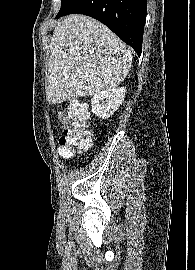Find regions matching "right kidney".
Segmentation results:
<instances>
[{
	"label": "right kidney",
	"mask_w": 195,
	"mask_h": 270,
	"mask_svg": "<svg viewBox=\"0 0 195 270\" xmlns=\"http://www.w3.org/2000/svg\"><path fill=\"white\" fill-rule=\"evenodd\" d=\"M125 94L126 88L119 87L94 95L91 99L92 112L99 118H110L124 102Z\"/></svg>",
	"instance_id": "ca27d5eb"
}]
</instances>
